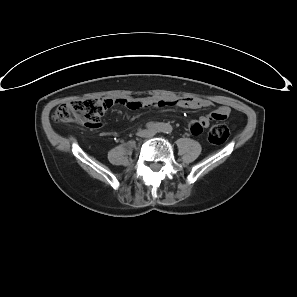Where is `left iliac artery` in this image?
<instances>
[{"instance_id":"left-iliac-artery-1","label":"left iliac artery","mask_w":297,"mask_h":297,"mask_svg":"<svg viewBox=\"0 0 297 297\" xmlns=\"http://www.w3.org/2000/svg\"><path fill=\"white\" fill-rule=\"evenodd\" d=\"M171 132V127L170 126H167L166 127V133H170Z\"/></svg>"}]
</instances>
